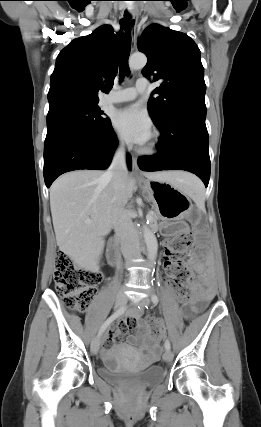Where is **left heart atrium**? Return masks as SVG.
I'll use <instances>...</instances> for the list:
<instances>
[{
    "label": "left heart atrium",
    "mask_w": 261,
    "mask_h": 427,
    "mask_svg": "<svg viewBox=\"0 0 261 427\" xmlns=\"http://www.w3.org/2000/svg\"><path fill=\"white\" fill-rule=\"evenodd\" d=\"M114 125L131 144L144 145L152 135L151 120L138 106H130L117 112L114 116Z\"/></svg>",
    "instance_id": "left-heart-atrium-1"
}]
</instances>
